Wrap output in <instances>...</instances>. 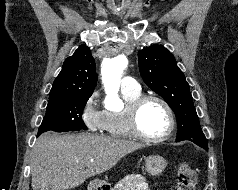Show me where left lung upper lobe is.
<instances>
[{
  "mask_svg": "<svg viewBox=\"0 0 238 190\" xmlns=\"http://www.w3.org/2000/svg\"><path fill=\"white\" fill-rule=\"evenodd\" d=\"M140 74L147 86L158 93L174 111L178 124L176 141L189 140L207 149V140L185 76L174 56L161 45L138 52Z\"/></svg>",
  "mask_w": 238,
  "mask_h": 190,
  "instance_id": "left-lung-upper-lobe-1",
  "label": "left lung upper lobe"
}]
</instances>
